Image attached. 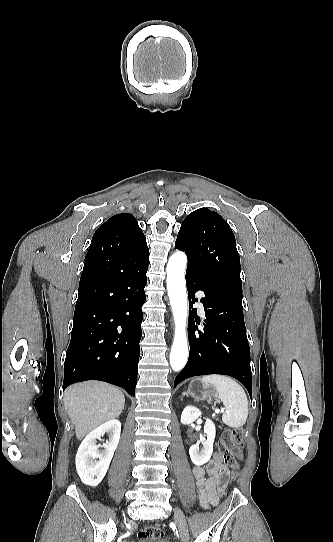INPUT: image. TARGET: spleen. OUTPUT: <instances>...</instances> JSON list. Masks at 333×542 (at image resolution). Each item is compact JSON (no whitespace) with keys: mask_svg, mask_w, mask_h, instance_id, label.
I'll list each match as a JSON object with an SVG mask.
<instances>
[{"mask_svg":"<svg viewBox=\"0 0 333 542\" xmlns=\"http://www.w3.org/2000/svg\"><path fill=\"white\" fill-rule=\"evenodd\" d=\"M203 384L213 386L218 394L220 402H223L225 412L222 416L223 424L229 428H242L248 418V400L240 384L229 376H204L201 378Z\"/></svg>","mask_w":333,"mask_h":542,"instance_id":"1","label":"spleen"}]
</instances>
